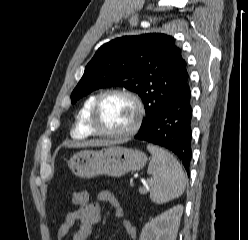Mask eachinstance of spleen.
I'll return each instance as SVG.
<instances>
[{
	"mask_svg": "<svg viewBox=\"0 0 248 240\" xmlns=\"http://www.w3.org/2000/svg\"><path fill=\"white\" fill-rule=\"evenodd\" d=\"M152 155L147 173L150 175V199L163 204L180 197L186 187V176L177 159L168 151L148 144Z\"/></svg>",
	"mask_w": 248,
	"mask_h": 240,
	"instance_id": "3e777b00",
	"label": "spleen"
}]
</instances>
